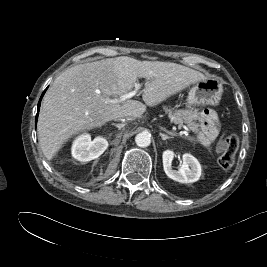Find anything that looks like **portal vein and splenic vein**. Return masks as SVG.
Segmentation results:
<instances>
[{
	"label": "portal vein and splenic vein",
	"mask_w": 267,
	"mask_h": 267,
	"mask_svg": "<svg viewBox=\"0 0 267 267\" xmlns=\"http://www.w3.org/2000/svg\"><path fill=\"white\" fill-rule=\"evenodd\" d=\"M140 87H141V85H140V84H137L136 87H135V90H134V91H131V92H129V93H126V94L122 95L119 99H109V100H107V101H108V102H113V103H116V102H123V101H125L126 99H129V98L135 96L136 93L138 92V90L140 89ZM97 93H99V91H97ZM181 126H182V128H183L185 131L190 132V129H189L187 126H185V125H183V124H182Z\"/></svg>",
	"instance_id": "portal-vein-and-splenic-vein-1"
}]
</instances>
